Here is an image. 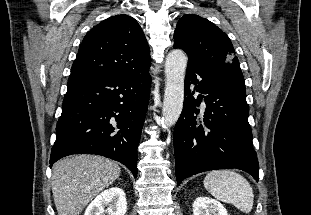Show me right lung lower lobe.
<instances>
[{
  "label": "right lung lower lobe",
  "mask_w": 311,
  "mask_h": 215,
  "mask_svg": "<svg viewBox=\"0 0 311 215\" xmlns=\"http://www.w3.org/2000/svg\"><path fill=\"white\" fill-rule=\"evenodd\" d=\"M150 81L148 70L128 76H70L50 167L62 157L92 153L124 164L136 177Z\"/></svg>",
  "instance_id": "right-lung-lower-lobe-1"
}]
</instances>
